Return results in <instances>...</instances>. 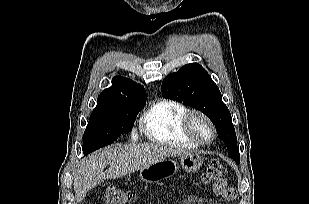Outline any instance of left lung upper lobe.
<instances>
[{
  "mask_svg": "<svg viewBox=\"0 0 309 204\" xmlns=\"http://www.w3.org/2000/svg\"><path fill=\"white\" fill-rule=\"evenodd\" d=\"M162 96L192 106L210 118L219 137L225 142L229 156L239 163V149L231 114L222 101L217 85L198 63L184 65L166 76Z\"/></svg>",
  "mask_w": 309,
  "mask_h": 204,
  "instance_id": "left-lung-upper-lobe-1",
  "label": "left lung upper lobe"
}]
</instances>
